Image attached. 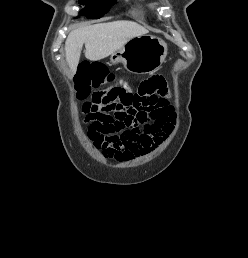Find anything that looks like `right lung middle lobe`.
I'll list each match as a JSON object with an SVG mask.
<instances>
[{
	"instance_id": "right-lung-middle-lobe-1",
	"label": "right lung middle lobe",
	"mask_w": 248,
	"mask_h": 258,
	"mask_svg": "<svg viewBox=\"0 0 248 258\" xmlns=\"http://www.w3.org/2000/svg\"><path fill=\"white\" fill-rule=\"evenodd\" d=\"M80 4L86 5L79 13L88 18H100L106 14L116 0H79Z\"/></svg>"
}]
</instances>
